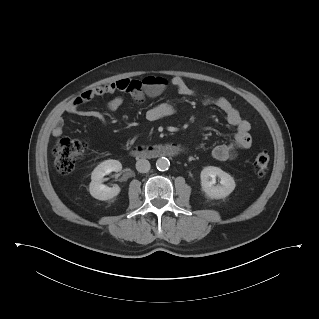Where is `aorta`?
Returning <instances> with one entry per match:
<instances>
[{
  "instance_id": "obj_1",
  "label": "aorta",
  "mask_w": 319,
  "mask_h": 319,
  "mask_svg": "<svg viewBox=\"0 0 319 319\" xmlns=\"http://www.w3.org/2000/svg\"><path fill=\"white\" fill-rule=\"evenodd\" d=\"M156 167L159 171H166L170 167V162L167 158L162 157L156 161Z\"/></svg>"
}]
</instances>
